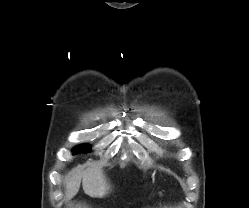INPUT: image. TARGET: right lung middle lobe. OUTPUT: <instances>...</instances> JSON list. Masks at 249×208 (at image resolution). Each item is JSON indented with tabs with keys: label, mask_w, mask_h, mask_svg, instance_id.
Instances as JSON below:
<instances>
[{
	"label": "right lung middle lobe",
	"mask_w": 249,
	"mask_h": 208,
	"mask_svg": "<svg viewBox=\"0 0 249 208\" xmlns=\"http://www.w3.org/2000/svg\"><path fill=\"white\" fill-rule=\"evenodd\" d=\"M90 151V147L86 144L84 145H79L77 147H75L72 151L73 154H77V153H87Z\"/></svg>",
	"instance_id": "dd1d6c3e"
}]
</instances>
